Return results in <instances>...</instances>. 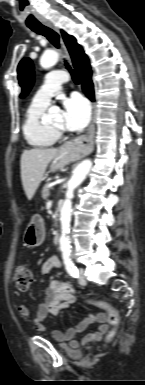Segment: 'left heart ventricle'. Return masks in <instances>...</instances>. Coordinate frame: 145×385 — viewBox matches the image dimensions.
Returning a JSON list of instances; mask_svg holds the SVG:
<instances>
[{
    "instance_id": "left-heart-ventricle-1",
    "label": "left heart ventricle",
    "mask_w": 145,
    "mask_h": 385,
    "mask_svg": "<svg viewBox=\"0 0 145 385\" xmlns=\"http://www.w3.org/2000/svg\"><path fill=\"white\" fill-rule=\"evenodd\" d=\"M51 125L55 126V127H63L64 126V117L63 115H60L59 117H57L52 123Z\"/></svg>"
}]
</instances>
